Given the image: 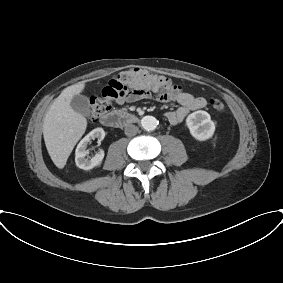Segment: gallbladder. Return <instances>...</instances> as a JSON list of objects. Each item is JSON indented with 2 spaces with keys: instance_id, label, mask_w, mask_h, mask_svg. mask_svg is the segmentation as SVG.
<instances>
[{
  "instance_id": "bac80fb5",
  "label": "gallbladder",
  "mask_w": 283,
  "mask_h": 283,
  "mask_svg": "<svg viewBox=\"0 0 283 283\" xmlns=\"http://www.w3.org/2000/svg\"><path fill=\"white\" fill-rule=\"evenodd\" d=\"M71 108L81 114V115H89L90 114V107L88 98L83 95H74L71 102H70Z\"/></svg>"
}]
</instances>
